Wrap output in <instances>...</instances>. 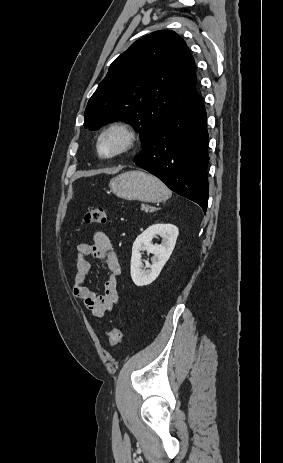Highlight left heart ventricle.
<instances>
[{
	"label": "left heart ventricle",
	"instance_id": "obj_1",
	"mask_svg": "<svg viewBox=\"0 0 283 463\" xmlns=\"http://www.w3.org/2000/svg\"><path fill=\"white\" fill-rule=\"evenodd\" d=\"M122 143V137L119 134H110L106 136L101 142L100 152L104 155L109 154L116 150Z\"/></svg>",
	"mask_w": 283,
	"mask_h": 463
}]
</instances>
